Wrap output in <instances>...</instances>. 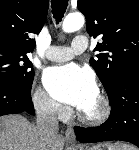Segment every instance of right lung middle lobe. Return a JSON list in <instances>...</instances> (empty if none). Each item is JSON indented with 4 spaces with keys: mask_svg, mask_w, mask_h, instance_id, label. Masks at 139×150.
Returning <instances> with one entry per match:
<instances>
[{
    "mask_svg": "<svg viewBox=\"0 0 139 150\" xmlns=\"http://www.w3.org/2000/svg\"><path fill=\"white\" fill-rule=\"evenodd\" d=\"M28 53L0 48V82L31 88L34 71Z\"/></svg>",
    "mask_w": 139,
    "mask_h": 150,
    "instance_id": "right-lung-middle-lobe-1",
    "label": "right lung middle lobe"
}]
</instances>
